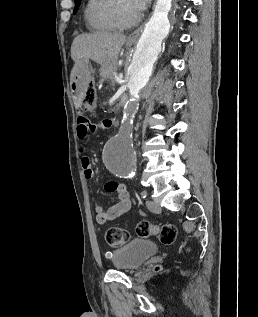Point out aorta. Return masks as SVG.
Returning a JSON list of instances; mask_svg holds the SVG:
<instances>
[{
	"label": "aorta",
	"mask_w": 258,
	"mask_h": 317,
	"mask_svg": "<svg viewBox=\"0 0 258 317\" xmlns=\"http://www.w3.org/2000/svg\"><path fill=\"white\" fill-rule=\"evenodd\" d=\"M172 0H158L152 17L137 43L128 68L130 100L124 107L123 119L118 133L106 143L103 160L107 169L115 176L130 178L136 169V155L133 150V121L139 109L138 96L147 85L153 65L162 49V42L170 30L168 13Z\"/></svg>",
	"instance_id": "aorta-1"
}]
</instances>
